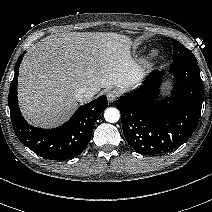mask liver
Returning a JSON list of instances; mask_svg holds the SVG:
<instances>
[{
  "label": "liver",
  "instance_id": "obj_1",
  "mask_svg": "<svg viewBox=\"0 0 212 212\" xmlns=\"http://www.w3.org/2000/svg\"><path fill=\"white\" fill-rule=\"evenodd\" d=\"M130 39L116 33H57L34 45L23 60L18 98L33 125L62 124L78 107L76 92L87 88L126 90L137 81Z\"/></svg>",
  "mask_w": 212,
  "mask_h": 212
}]
</instances>
